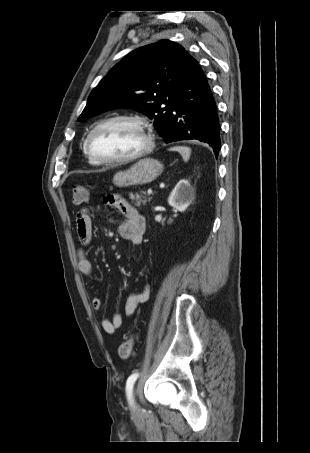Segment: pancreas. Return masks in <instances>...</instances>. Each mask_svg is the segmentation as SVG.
Here are the masks:
<instances>
[{"mask_svg": "<svg viewBox=\"0 0 310 453\" xmlns=\"http://www.w3.org/2000/svg\"><path fill=\"white\" fill-rule=\"evenodd\" d=\"M130 199L132 203H134L137 207H140L141 204L146 205L147 202H150L152 197H147L146 193L141 191L140 193H136L135 195L130 194Z\"/></svg>", "mask_w": 310, "mask_h": 453, "instance_id": "1", "label": "pancreas"}]
</instances>
